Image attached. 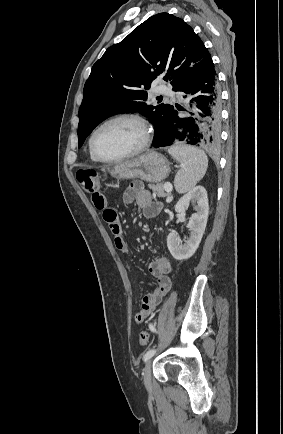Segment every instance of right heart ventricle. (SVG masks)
<instances>
[{"label":"right heart ventricle","instance_id":"obj_1","mask_svg":"<svg viewBox=\"0 0 283 434\" xmlns=\"http://www.w3.org/2000/svg\"><path fill=\"white\" fill-rule=\"evenodd\" d=\"M90 157L93 161H96V159L92 156V154L90 153Z\"/></svg>","mask_w":283,"mask_h":434}]
</instances>
